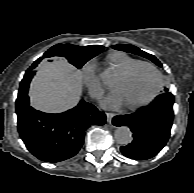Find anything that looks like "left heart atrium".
Listing matches in <instances>:
<instances>
[{
    "label": "left heart atrium",
    "instance_id": "1",
    "mask_svg": "<svg viewBox=\"0 0 194 193\" xmlns=\"http://www.w3.org/2000/svg\"><path fill=\"white\" fill-rule=\"evenodd\" d=\"M123 103L120 93L115 90L103 100L102 105L106 108H117Z\"/></svg>",
    "mask_w": 194,
    "mask_h": 193
}]
</instances>
